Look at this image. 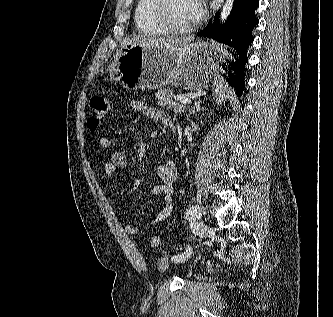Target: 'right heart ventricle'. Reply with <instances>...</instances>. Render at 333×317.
Segmentation results:
<instances>
[{
	"mask_svg": "<svg viewBox=\"0 0 333 317\" xmlns=\"http://www.w3.org/2000/svg\"><path fill=\"white\" fill-rule=\"evenodd\" d=\"M137 30L146 36H163L167 32L160 27L152 14V0H138L134 12Z\"/></svg>",
	"mask_w": 333,
	"mask_h": 317,
	"instance_id": "right-heart-ventricle-1",
	"label": "right heart ventricle"
}]
</instances>
